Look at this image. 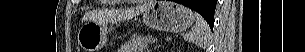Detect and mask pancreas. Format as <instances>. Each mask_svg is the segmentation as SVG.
I'll list each match as a JSON object with an SVG mask.
<instances>
[{"mask_svg": "<svg viewBox=\"0 0 305 52\" xmlns=\"http://www.w3.org/2000/svg\"><path fill=\"white\" fill-rule=\"evenodd\" d=\"M150 42V36L134 35L122 46V49L124 52H142Z\"/></svg>", "mask_w": 305, "mask_h": 52, "instance_id": "cf45deb5", "label": "pancreas"}]
</instances>
